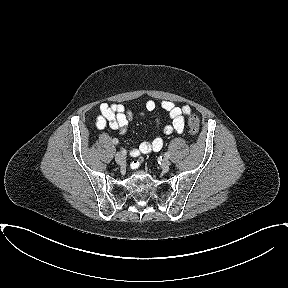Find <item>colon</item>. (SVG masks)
I'll list each match as a JSON object with an SVG mask.
<instances>
[{
    "mask_svg": "<svg viewBox=\"0 0 288 288\" xmlns=\"http://www.w3.org/2000/svg\"><path fill=\"white\" fill-rule=\"evenodd\" d=\"M189 132L192 135H197L200 129V121L196 116H191L188 120Z\"/></svg>",
    "mask_w": 288,
    "mask_h": 288,
    "instance_id": "obj_1",
    "label": "colon"
}]
</instances>
